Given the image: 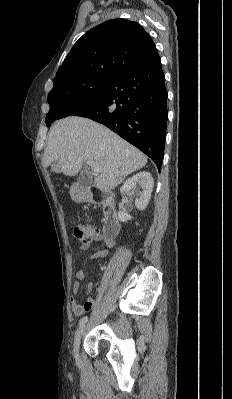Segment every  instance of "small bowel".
<instances>
[{
    "label": "small bowel",
    "mask_w": 232,
    "mask_h": 399,
    "mask_svg": "<svg viewBox=\"0 0 232 399\" xmlns=\"http://www.w3.org/2000/svg\"><path fill=\"white\" fill-rule=\"evenodd\" d=\"M112 247V242H105L103 246L97 251L90 255V259L102 258L107 254L108 249ZM90 248L89 242H83L81 244V250L87 251ZM77 276L79 280H83L86 276L83 269L78 270ZM73 294L70 297V315L71 317H78L85 314V312L93 307V301L91 299L86 300L84 303H80V282L75 281L72 285ZM93 289V282L89 281L86 286V291L91 292Z\"/></svg>",
    "instance_id": "c3829d8e"
}]
</instances>
